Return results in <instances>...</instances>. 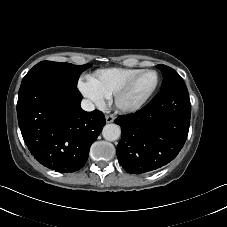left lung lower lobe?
<instances>
[{
  "instance_id": "left-lung-lower-lobe-1",
  "label": "left lung lower lobe",
  "mask_w": 227,
  "mask_h": 227,
  "mask_svg": "<svg viewBox=\"0 0 227 227\" xmlns=\"http://www.w3.org/2000/svg\"><path fill=\"white\" fill-rule=\"evenodd\" d=\"M190 114L187 87H177L160 91L136 113L118 117L120 165L128 173L142 174L168 164L187 139Z\"/></svg>"
}]
</instances>
